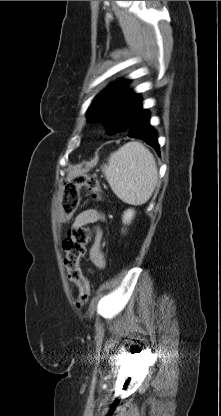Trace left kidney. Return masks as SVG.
Wrapping results in <instances>:
<instances>
[{
	"mask_svg": "<svg viewBox=\"0 0 221 416\" xmlns=\"http://www.w3.org/2000/svg\"><path fill=\"white\" fill-rule=\"evenodd\" d=\"M134 214H135L134 209L126 210L123 214V223L124 224H129L131 222V220L133 219Z\"/></svg>",
	"mask_w": 221,
	"mask_h": 416,
	"instance_id": "left-kidney-1",
	"label": "left kidney"
}]
</instances>
